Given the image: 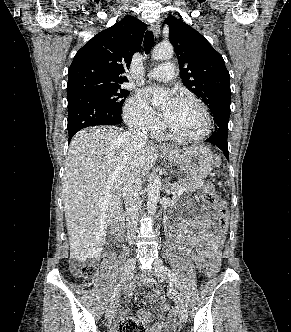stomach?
<instances>
[{
    "instance_id": "0dacf381",
    "label": "stomach",
    "mask_w": 291,
    "mask_h": 332,
    "mask_svg": "<svg viewBox=\"0 0 291 332\" xmlns=\"http://www.w3.org/2000/svg\"><path fill=\"white\" fill-rule=\"evenodd\" d=\"M164 155L170 164L178 166L192 179L206 178L214 165L211 151L203 146H184L165 148Z\"/></svg>"
}]
</instances>
